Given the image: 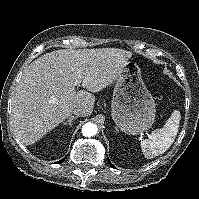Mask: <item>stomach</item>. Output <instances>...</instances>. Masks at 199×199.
<instances>
[{
  "instance_id": "1",
  "label": "stomach",
  "mask_w": 199,
  "mask_h": 199,
  "mask_svg": "<svg viewBox=\"0 0 199 199\" xmlns=\"http://www.w3.org/2000/svg\"><path fill=\"white\" fill-rule=\"evenodd\" d=\"M111 109L117 127L130 135L141 134L154 123L155 102L134 61L129 60L117 76Z\"/></svg>"
}]
</instances>
